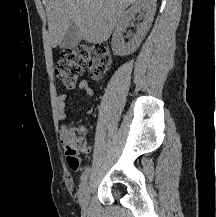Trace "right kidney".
Segmentation results:
<instances>
[{
	"label": "right kidney",
	"mask_w": 216,
	"mask_h": 217,
	"mask_svg": "<svg viewBox=\"0 0 216 217\" xmlns=\"http://www.w3.org/2000/svg\"><path fill=\"white\" fill-rule=\"evenodd\" d=\"M156 6V0H136L133 5L121 15L111 42L112 50L115 55L125 56L132 54L137 50L151 27L156 12ZM138 12L145 13L143 22L137 26V32L130 42L125 43L122 33L126 30L129 22Z\"/></svg>",
	"instance_id": "right-kidney-1"
}]
</instances>
